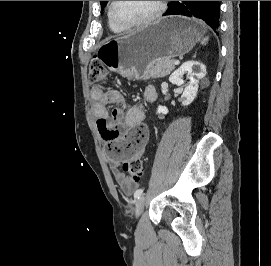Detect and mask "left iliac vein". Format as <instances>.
<instances>
[{"mask_svg":"<svg viewBox=\"0 0 271 266\" xmlns=\"http://www.w3.org/2000/svg\"><path fill=\"white\" fill-rule=\"evenodd\" d=\"M145 206V197L140 196L135 202V216L139 217Z\"/></svg>","mask_w":271,"mask_h":266,"instance_id":"left-iliac-vein-1","label":"left iliac vein"}]
</instances>
